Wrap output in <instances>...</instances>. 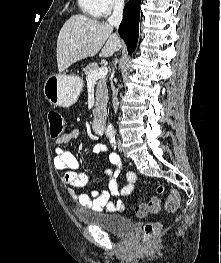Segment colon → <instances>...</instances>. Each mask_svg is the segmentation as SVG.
I'll use <instances>...</instances> for the list:
<instances>
[{"label":"colon","mask_w":221,"mask_h":263,"mask_svg":"<svg viewBox=\"0 0 221 263\" xmlns=\"http://www.w3.org/2000/svg\"><path fill=\"white\" fill-rule=\"evenodd\" d=\"M48 122L50 128V137L58 138L63 134L64 125L62 115L56 110L48 112ZM167 188L159 185L156 189L157 194L151 197L147 202L140 203L135 207V214L137 217L144 218L149 214L157 213L161 207L160 195L165 193ZM180 204V197L177 191L170 190L168 198L165 203V209L168 212H174L178 209ZM159 230V224L156 222L147 223L144 226V237L146 239L152 238Z\"/></svg>","instance_id":"obj_1"}]
</instances>
